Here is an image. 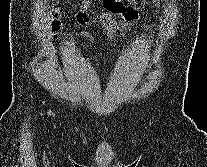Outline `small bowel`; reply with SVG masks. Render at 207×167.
<instances>
[{
	"label": "small bowel",
	"mask_w": 207,
	"mask_h": 167,
	"mask_svg": "<svg viewBox=\"0 0 207 167\" xmlns=\"http://www.w3.org/2000/svg\"><path fill=\"white\" fill-rule=\"evenodd\" d=\"M90 3L91 0H83L79 4L77 22L80 24L98 23L109 40H112L120 32H128L135 25L134 22L139 17L135 9L123 8L120 0H102L105 9L92 17L87 13ZM116 17L120 18V20ZM82 35L92 41L95 40L88 32H83Z\"/></svg>",
	"instance_id": "1"
}]
</instances>
